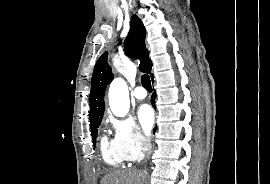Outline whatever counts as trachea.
Masks as SVG:
<instances>
[{
	"label": "trachea",
	"mask_w": 270,
	"mask_h": 184,
	"mask_svg": "<svg viewBox=\"0 0 270 184\" xmlns=\"http://www.w3.org/2000/svg\"><path fill=\"white\" fill-rule=\"evenodd\" d=\"M141 83H142L143 87H144L145 89H147L148 91H151V90H152L149 75H147V74L143 75V76L141 77Z\"/></svg>",
	"instance_id": "obj_1"
}]
</instances>
